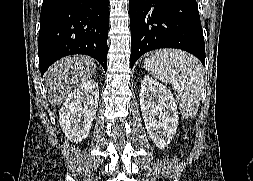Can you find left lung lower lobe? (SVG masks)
<instances>
[{
    "mask_svg": "<svg viewBox=\"0 0 253 181\" xmlns=\"http://www.w3.org/2000/svg\"><path fill=\"white\" fill-rule=\"evenodd\" d=\"M131 69L146 52L178 48L205 65V44L196 0H129Z\"/></svg>",
    "mask_w": 253,
    "mask_h": 181,
    "instance_id": "1",
    "label": "left lung lower lobe"
}]
</instances>
